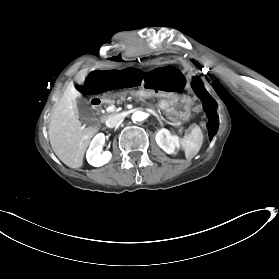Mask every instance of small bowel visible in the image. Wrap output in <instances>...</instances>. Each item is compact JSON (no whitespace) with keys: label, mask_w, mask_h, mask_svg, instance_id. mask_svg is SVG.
Listing matches in <instances>:
<instances>
[{"label":"small bowel","mask_w":279,"mask_h":279,"mask_svg":"<svg viewBox=\"0 0 279 279\" xmlns=\"http://www.w3.org/2000/svg\"><path fill=\"white\" fill-rule=\"evenodd\" d=\"M186 80L184 76L174 67H158L149 72L144 78L147 88L164 92H178L184 89Z\"/></svg>","instance_id":"small-bowel-1"}]
</instances>
